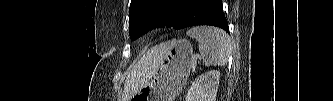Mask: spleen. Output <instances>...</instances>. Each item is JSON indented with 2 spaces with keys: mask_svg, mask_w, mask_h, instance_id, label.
Masks as SVG:
<instances>
[{
  "mask_svg": "<svg viewBox=\"0 0 333 101\" xmlns=\"http://www.w3.org/2000/svg\"><path fill=\"white\" fill-rule=\"evenodd\" d=\"M195 38L205 66H224L231 55L232 43L229 35L216 27H194L187 31Z\"/></svg>",
  "mask_w": 333,
  "mask_h": 101,
  "instance_id": "1",
  "label": "spleen"
}]
</instances>
